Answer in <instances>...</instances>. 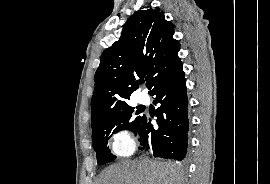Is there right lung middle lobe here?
Wrapping results in <instances>:
<instances>
[{
  "instance_id": "obj_1",
  "label": "right lung middle lobe",
  "mask_w": 270,
  "mask_h": 184,
  "mask_svg": "<svg viewBox=\"0 0 270 184\" xmlns=\"http://www.w3.org/2000/svg\"><path fill=\"white\" fill-rule=\"evenodd\" d=\"M138 113L139 111H135L134 107L125 105L109 117L92 124L93 149L97 152L99 165L116 158L107 147L110 135L124 129L131 130L136 134L145 118V116L136 117L135 115Z\"/></svg>"
}]
</instances>
